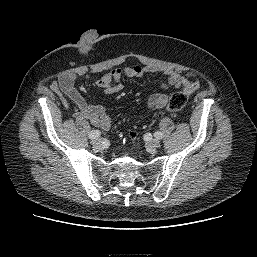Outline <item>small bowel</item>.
<instances>
[{
	"mask_svg": "<svg viewBox=\"0 0 257 257\" xmlns=\"http://www.w3.org/2000/svg\"><path fill=\"white\" fill-rule=\"evenodd\" d=\"M150 67L131 66L125 68H116L109 73L101 76L96 85L103 89L108 95L118 94L122 91L123 85L120 80L123 76L129 78H141L146 73L154 72ZM167 76V81L162 83L163 89L168 88H183L184 92L192 94L198 88V82L193 74L180 75L173 71H164ZM77 79L74 73H65L61 75L57 82L52 83V89L59 95H64L69 98L77 106L75 115L83 117L90 123L101 129L108 130L111 127L112 121L102 105L87 102L75 87ZM169 97L165 94H153L148 98L147 106L150 110L163 108L167 105Z\"/></svg>",
	"mask_w": 257,
	"mask_h": 257,
	"instance_id": "c3829d8e",
	"label": "small bowel"
}]
</instances>
